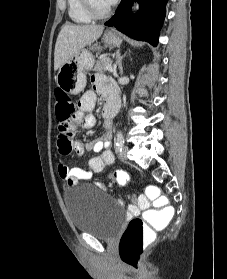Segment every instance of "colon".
<instances>
[{
  "mask_svg": "<svg viewBox=\"0 0 227 279\" xmlns=\"http://www.w3.org/2000/svg\"><path fill=\"white\" fill-rule=\"evenodd\" d=\"M74 110L73 98L67 93L59 91L55 114L61 129L65 132H71L74 127ZM112 178L120 186L130 181V175L125 170L113 172ZM147 188L151 202L157 207L146 210L141 217L133 218L127 225L120 243V257L130 266L138 264L144 241L152 237L155 229L160 228L165 221H170L174 217V209L171 206H164L168 200L167 196L153 185L148 184Z\"/></svg>",
  "mask_w": 227,
  "mask_h": 279,
  "instance_id": "obj_1",
  "label": "colon"
}]
</instances>
